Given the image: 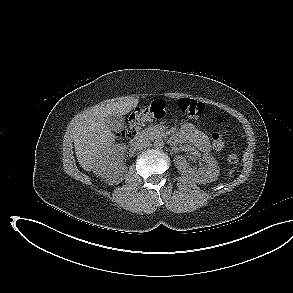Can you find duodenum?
<instances>
[{
    "mask_svg": "<svg viewBox=\"0 0 293 293\" xmlns=\"http://www.w3.org/2000/svg\"><path fill=\"white\" fill-rule=\"evenodd\" d=\"M142 137L140 136V134H136L131 142H130V146L132 149L136 148L139 146V144L141 143Z\"/></svg>",
    "mask_w": 293,
    "mask_h": 293,
    "instance_id": "1",
    "label": "duodenum"
}]
</instances>
